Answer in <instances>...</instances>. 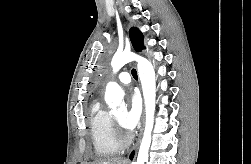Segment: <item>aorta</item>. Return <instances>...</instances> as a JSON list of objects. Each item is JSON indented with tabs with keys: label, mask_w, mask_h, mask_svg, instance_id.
I'll return each mask as SVG.
<instances>
[{
	"label": "aorta",
	"mask_w": 251,
	"mask_h": 164,
	"mask_svg": "<svg viewBox=\"0 0 251 164\" xmlns=\"http://www.w3.org/2000/svg\"><path fill=\"white\" fill-rule=\"evenodd\" d=\"M136 61L139 79L141 81L144 103H145V129L136 162L133 164H144L148 161V153L151 144V132L154 124V113L156 106V78L152 63L146 58L136 55L130 51L116 53L111 61L113 72L117 73L125 64ZM124 92L116 82H109L106 86L105 100L111 107L115 108L123 104Z\"/></svg>",
	"instance_id": "obj_1"
}]
</instances>
